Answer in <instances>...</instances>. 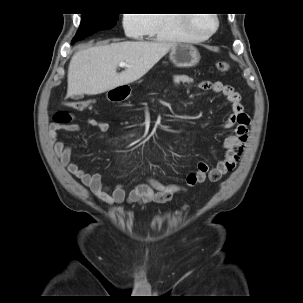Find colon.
<instances>
[{"label": "colon", "instance_id": "colon-1", "mask_svg": "<svg viewBox=\"0 0 303 303\" xmlns=\"http://www.w3.org/2000/svg\"><path fill=\"white\" fill-rule=\"evenodd\" d=\"M216 68L220 73L225 74L229 71L230 66L228 62L221 60L217 62ZM92 103L93 101H76L70 102L69 106L78 110H83L88 108ZM54 120L59 124H67L72 121V116L70 113L62 111L55 115Z\"/></svg>", "mask_w": 303, "mask_h": 303}]
</instances>
